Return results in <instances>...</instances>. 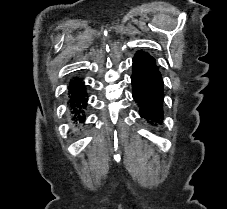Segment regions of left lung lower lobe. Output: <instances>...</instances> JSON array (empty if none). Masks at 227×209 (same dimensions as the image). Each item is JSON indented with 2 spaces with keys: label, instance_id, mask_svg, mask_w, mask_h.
Returning <instances> with one entry per match:
<instances>
[{
  "label": "left lung lower lobe",
  "instance_id": "0a47b994",
  "mask_svg": "<svg viewBox=\"0 0 227 209\" xmlns=\"http://www.w3.org/2000/svg\"><path fill=\"white\" fill-rule=\"evenodd\" d=\"M133 98L140 106V114L149 122H163V80L156 60L146 52L138 51L133 58L131 76Z\"/></svg>",
  "mask_w": 227,
  "mask_h": 209
}]
</instances>
